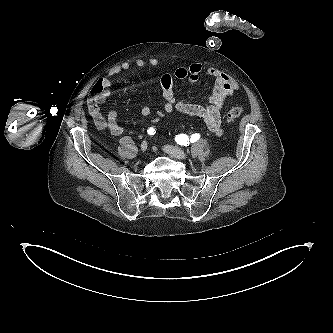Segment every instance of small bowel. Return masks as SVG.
Returning <instances> with one entry per match:
<instances>
[{
	"label": "small bowel",
	"mask_w": 333,
	"mask_h": 333,
	"mask_svg": "<svg viewBox=\"0 0 333 333\" xmlns=\"http://www.w3.org/2000/svg\"><path fill=\"white\" fill-rule=\"evenodd\" d=\"M158 64L159 61L156 58H150L147 61L137 59L134 62V65L138 68H143L146 65L157 66ZM131 67L132 65L129 62L116 65L99 81L103 88L102 94L98 99L99 104L104 103L110 96L113 79L122 72L130 70ZM203 72L215 80L212 93L207 99V105L193 104L177 98L173 88V77L181 80L187 79L194 83ZM161 87L165 104L163 110L156 112L152 120L153 123L157 122L165 114L178 111L189 116L201 118L214 135L220 136L222 134L221 113L225 99L238 89V84L233 78L221 70L212 67L204 70L200 63L194 62L187 67H178L173 75L164 74L161 77ZM150 113L151 110L149 107H143L141 109V115L143 117L149 116ZM91 115L99 130L108 131L114 136H121L126 132L125 128L121 127L117 122L118 115L116 111L109 112L106 118L103 117L100 110L91 112Z\"/></svg>",
	"instance_id": "1"
}]
</instances>
